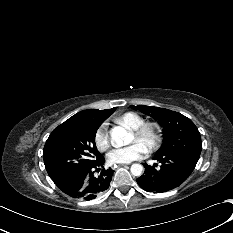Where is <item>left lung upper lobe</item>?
Here are the masks:
<instances>
[{"label": "left lung upper lobe", "instance_id": "obj_1", "mask_svg": "<svg viewBox=\"0 0 233 233\" xmlns=\"http://www.w3.org/2000/svg\"><path fill=\"white\" fill-rule=\"evenodd\" d=\"M157 120L164 128L163 143L157 153H179L199 159L202 150L200 133L186 116L159 107L130 106Z\"/></svg>", "mask_w": 233, "mask_h": 233}]
</instances>
